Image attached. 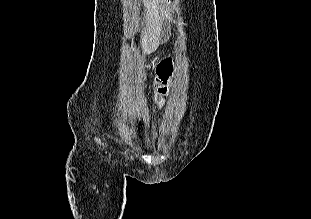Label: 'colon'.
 Segmentation results:
<instances>
[{
    "mask_svg": "<svg viewBox=\"0 0 311 219\" xmlns=\"http://www.w3.org/2000/svg\"><path fill=\"white\" fill-rule=\"evenodd\" d=\"M174 71L173 59L167 58L163 60L157 68V75L155 83L157 84V92L155 95V101L158 107H162L164 104V98L168 94L167 83Z\"/></svg>",
    "mask_w": 311,
    "mask_h": 219,
    "instance_id": "1",
    "label": "colon"
}]
</instances>
